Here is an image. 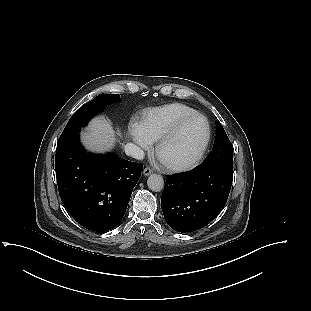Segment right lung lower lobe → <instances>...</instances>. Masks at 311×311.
<instances>
[{
    "mask_svg": "<svg viewBox=\"0 0 311 311\" xmlns=\"http://www.w3.org/2000/svg\"><path fill=\"white\" fill-rule=\"evenodd\" d=\"M55 170L66 209L83 227L108 231L122 220L143 165L113 153L95 155L78 135L57 146Z\"/></svg>",
    "mask_w": 311,
    "mask_h": 311,
    "instance_id": "right-lung-lower-lobe-1",
    "label": "right lung lower lobe"
}]
</instances>
